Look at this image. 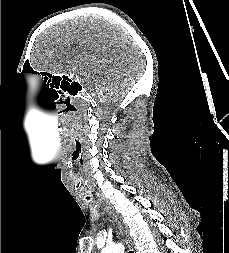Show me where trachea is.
<instances>
[{
    "label": "trachea",
    "mask_w": 229,
    "mask_h": 253,
    "mask_svg": "<svg viewBox=\"0 0 229 253\" xmlns=\"http://www.w3.org/2000/svg\"><path fill=\"white\" fill-rule=\"evenodd\" d=\"M87 199H89V198H87ZM129 253H134L133 251H129Z\"/></svg>",
    "instance_id": "3493384b"
}]
</instances>
